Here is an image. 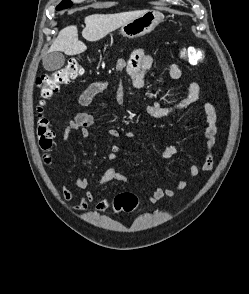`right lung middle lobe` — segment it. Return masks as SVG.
<instances>
[{
    "label": "right lung middle lobe",
    "instance_id": "right-lung-middle-lobe-1",
    "mask_svg": "<svg viewBox=\"0 0 249 294\" xmlns=\"http://www.w3.org/2000/svg\"><path fill=\"white\" fill-rule=\"evenodd\" d=\"M71 6V1L63 0L57 7L56 10H62Z\"/></svg>",
    "mask_w": 249,
    "mask_h": 294
}]
</instances>
